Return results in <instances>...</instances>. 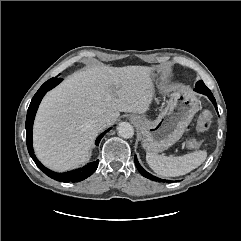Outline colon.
I'll use <instances>...</instances> for the list:
<instances>
[{"mask_svg":"<svg viewBox=\"0 0 241 241\" xmlns=\"http://www.w3.org/2000/svg\"><path fill=\"white\" fill-rule=\"evenodd\" d=\"M212 121V114L209 110H204L200 113L198 120H197V124H196V128L197 131L199 132H204L206 131L211 124ZM202 141L199 138H192L188 141V147L191 149H197L201 146Z\"/></svg>","mask_w":241,"mask_h":241,"instance_id":"5ec220e1","label":"colon"}]
</instances>
